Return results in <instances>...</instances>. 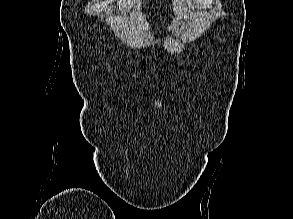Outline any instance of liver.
<instances>
[{
	"label": "liver",
	"mask_w": 293,
	"mask_h": 219,
	"mask_svg": "<svg viewBox=\"0 0 293 219\" xmlns=\"http://www.w3.org/2000/svg\"><path fill=\"white\" fill-rule=\"evenodd\" d=\"M187 3H188V6L190 5V2L189 1H187ZM183 10H187V7H183ZM121 38L123 39V41L125 40V37L123 36V35H121ZM127 38V42L128 43H130V39H129V37H126Z\"/></svg>",
	"instance_id": "1"
}]
</instances>
